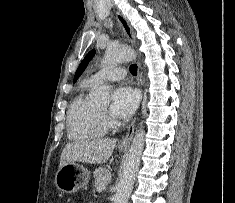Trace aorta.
<instances>
[{"label":"aorta","instance_id":"1","mask_svg":"<svg viewBox=\"0 0 235 203\" xmlns=\"http://www.w3.org/2000/svg\"><path fill=\"white\" fill-rule=\"evenodd\" d=\"M135 58V52L128 46L108 45L102 63L104 65H116L129 62ZM94 100L106 104L109 102L108 86H101L94 94ZM144 148V130L142 124L135 132L129 153L126 157L122 178L118 184L114 203H128L135 177L140 166Z\"/></svg>","mask_w":235,"mask_h":203}]
</instances>
